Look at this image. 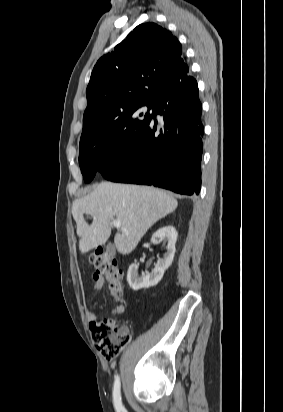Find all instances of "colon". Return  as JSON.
<instances>
[{"mask_svg":"<svg viewBox=\"0 0 283 412\" xmlns=\"http://www.w3.org/2000/svg\"><path fill=\"white\" fill-rule=\"evenodd\" d=\"M90 261L95 267V277L105 279L116 296H120L123 287V272L117 262L101 248L90 254ZM91 335L101 355L107 359L116 357L129 343L130 335L111 319L95 321Z\"/></svg>","mask_w":283,"mask_h":412,"instance_id":"1","label":"colon"}]
</instances>
